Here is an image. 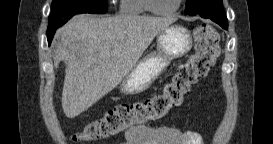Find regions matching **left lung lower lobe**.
Segmentation results:
<instances>
[{"mask_svg": "<svg viewBox=\"0 0 273 144\" xmlns=\"http://www.w3.org/2000/svg\"><path fill=\"white\" fill-rule=\"evenodd\" d=\"M209 3V0H204ZM203 18H209L222 26L224 29L228 28V21L223 8L218 7V5H211L209 8H205L196 13Z\"/></svg>", "mask_w": 273, "mask_h": 144, "instance_id": "left-lung-lower-lobe-1", "label": "left lung lower lobe"}]
</instances>
